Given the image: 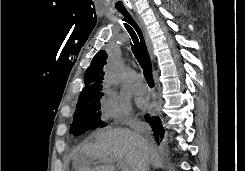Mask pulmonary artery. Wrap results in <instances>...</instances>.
<instances>
[{
	"mask_svg": "<svg viewBox=\"0 0 245 171\" xmlns=\"http://www.w3.org/2000/svg\"><path fill=\"white\" fill-rule=\"evenodd\" d=\"M134 92L139 95L145 94L147 92V86L141 81L140 78L137 79L134 85Z\"/></svg>",
	"mask_w": 245,
	"mask_h": 171,
	"instance_id": "e3ab8cb5",
	"label": "pulmonary artery"
}]
</instances>
